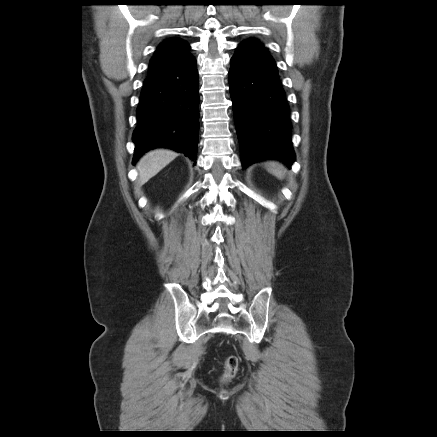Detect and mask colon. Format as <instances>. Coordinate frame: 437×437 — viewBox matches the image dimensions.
I'll list each match as a JSON object with an SVG mask.
<instances>
[{
  "label": "colon",
  "instance_id": "colon-1",
  "mask_svg": "<svg viewBox=\"0 0 437 437\" xmlns=\"http://www.w3.org/2000/svg\"><path fill=\"white\" fill-rule=\"evenodd\" d=\"M239 368V360L236 356L230 355L225 359L224 362V373L223 377L226 380L233 378Z\"/></svg>",
  "mask_w": 437,
  "mask_h": 437
}]
</instances>
